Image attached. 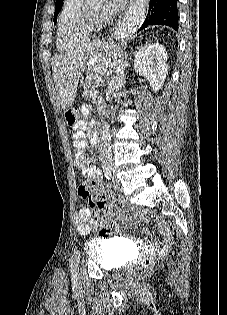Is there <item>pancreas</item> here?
<instances>
[{"label": "pancreas", "instance_id": "pancreas-1", "mask_svg": "<svg viewBox=\"0 0 227 315\" xmlns=\"http://www.w3.org/2000/svg\"><path fill=\"white\" fill-rule=\"evenodd\" d=\"M96 82L94 81V77L92 75L88 76L83 84L84 92L83 95L87 98L91 97V92L96 90Z\"/></svg>", "mask_w": 227, "mask_h": 315}]
</instances>
